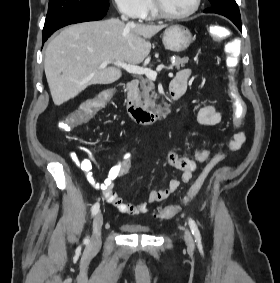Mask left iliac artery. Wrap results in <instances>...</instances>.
I'll return each mask as SVG.
<instances>
[{
  "label": "left iliac artery",
  "mask_w": 280,
  "mask_h": 283,
  "mask_svg": "<svg viewBox=\"0 0 280 283\" xmlns=\"http://www.w3.org/2000/svg\"><path fill=\"white\" fill-rule=\"evenodd\" d=\"M189 226H190L191 232H192L193 236L195 237L196 241L200 242L201 236H200L199 229H198L195 221L192 220L191 218H189Z\"/></svg>",
  "instance_id": "obj_1"
}]
</instances>
